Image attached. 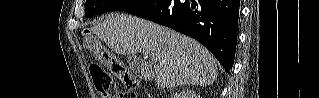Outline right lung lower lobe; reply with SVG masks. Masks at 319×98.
<instances>
[{"mask_svg":"<svg viewBox=\"0 0 319 98\" xmlns=\"http://www.w3.org/2000/svg\"><path fill=\"white\" fill-rule=\"evenodd\" d=\"M239 0H150L127 12L190 36L232 68L237 43Z\"/></svg>","mask_w":319,"mask_h":98,"instance_id":"obj_1","label":"right lung lower lobe"}]
</instances>
